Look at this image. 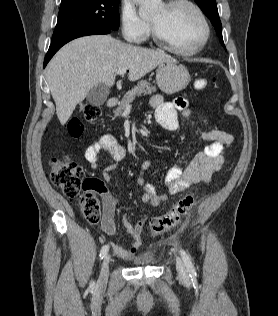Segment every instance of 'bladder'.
Listing matches in <instances>:
<instances>
[{
	"instance_id": "obj_1",
	"label": "bladder",
	"mask_w": 278,
	"mask_h": 316,
	"mask_svg": "<svg viewBox=\"0 0 278 316\" xmlns=\"http://www.w3.org/2000/svg\"><path fill=\"white\" fill-rule=\"evenodd\" d=\"M155 263V260L153 258H138L134 260V264L139 266H148L153 265Z\"/></svg>"
}]
</instances>
